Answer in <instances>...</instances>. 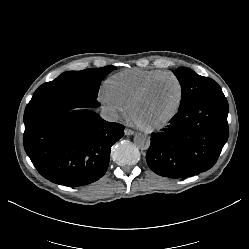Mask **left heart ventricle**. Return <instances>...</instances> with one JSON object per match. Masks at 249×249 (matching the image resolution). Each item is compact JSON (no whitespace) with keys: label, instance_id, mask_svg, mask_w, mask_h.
Listing matches in <instances>:
<instances>
[{"label":"left heart ventricle","instance_id":"1","mask_svg":"<svg viewBox=\"0 0 249 249\" xmlns=\"http://www.w3.org/2000/svg\"><path fill=\"white\" fill-rule=\"evenodd\" d=\"M179 86L172 77L159 79L139 101L132 114L142 125H152L167 118L177 105Z\"/></svg>","mask_w":249,"mask_h":249}]
</instances>
